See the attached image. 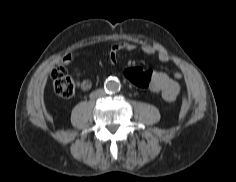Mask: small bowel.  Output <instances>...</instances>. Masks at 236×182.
<instances>
[{"instance_id":"obj_1","label":"small bowel","mask_w":236,"mask_h":182,"mask_svg":"<svg viewBox=\"0 0 236 182\" xmlns=\"http://www.w3.org/2000/svg\"><path fill=\"white\" fill-rule=\"evenodd\" d=\"M136 48H137L136 45L129 41H120L114 43L110 47L109 59L111 62H115L119 52L121 51L132 52L136 50ZM141 50L146 54L156 55L159 61L161 62H167L169 60V55L166 50L158 49L156 46L152 44L149 43L142 44ZM64 61L70 62L71 56L70 55L65 56ZM150 71L152 73V82L149 89L152 92L159 94L162 97V99L167 102L174 101L180 94L181 91L180 84L165 72L156 70H150ZM174 77L176 79H180L182 78V74L180 72H176L174 74ZM81 87L83 90H89L92 87V83L89 80H83L81 83Z\"/></svg>"}]
</instances>
